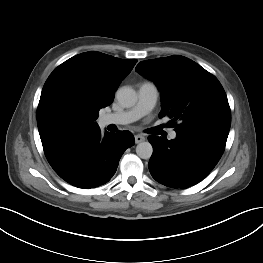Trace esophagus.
<instances>
[{
    "label": "esophagus",
    "instance_id": "obj_1",
    "mask_svg": "<svg viewBox=\"0 0 263 263\" xmlns=\"http://www.w3.org/2000/svg\"><path fill=\"white\" fill-rule=\"evenodd\" d=\"M145 140V137L144 136H142V135H135V142L136 143H141V142H143Z\"/></svg>",
    "mask_w": 263,
    "mask_h": 263
}]
</instances>
